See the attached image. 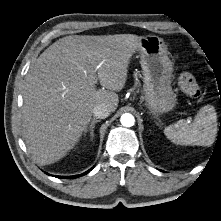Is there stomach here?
I'll return each instance as SVG.
<instances>
[{"label":"stomach","mask_w":221,"mask_h":221,"mask_svg":"<svg viewBox=\"0 0 221 221\" xmlns=\"http://www.w3.org/2000/svg\"><path fill=\"white\" fill-rule=\"evenodd\" d=\"M139 50L147 107L153 114L172 110L176 105V94L171 87L173 66L166 45L158 36H146L141 39Z\"/></svg>","instance_id":"obj_1"}]
</instances>
